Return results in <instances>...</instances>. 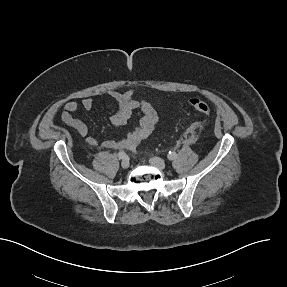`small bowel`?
<instances>
[{
    "label": "small bowel",
    "instance_id": "small-bowel-1",
    "mask_svg": "<svg viewBox=\"0 0 287 287\" xmlns=\"http://www.w3.org/2000/svg\"><path fill=\"white\" fill-rule=\"evenodd\" d=\"M108 94L117 103V110L110 119L113 130H117L125 125L134 112L137 111L141 116L139 126L128 132L125 136L119 139L100 141L98 138L89 135L87 125L74 117V114L80 108V105L76 101H69L65 104L64 110L61 113V120L64 124L73 128L89 146L95 147L100 145L106 149H132L153 132L159 119L157 110L150 101L139 99L132 90L126 92L110 91ZM81 107L87 111L91 110L93 107L92 98H84L81 101Z\"/></svg>",
    "mask_w": 287,
    "mask_h": 287
}]
</instances>
